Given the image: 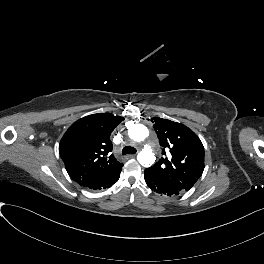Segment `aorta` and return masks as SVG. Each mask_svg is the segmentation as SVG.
<instances>
[{"label": "aorta", "instance_id": "762f6f07", "mask_svg": "<svg viewBox=\"0 0 264 264\" xmlns=\"http://www.w3.org/2000/svg\"><path fill=\"white\" fill-rule=\"evenodd\" d=\"M148 135V129L142 124H134L129 129V136L137 143L144 142ZM154 160L155 157L148 147H145L138 155V161L145 167L152 165Z\"/></svg>", "mask_w": 264, "mask_h": 264}]
</instances>
